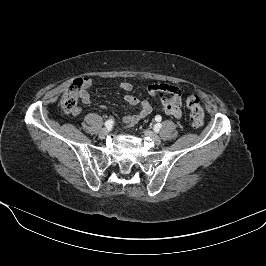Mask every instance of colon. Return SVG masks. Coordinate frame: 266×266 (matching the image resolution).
Listing matches in <instances>:
<instances>
[{
	"mask_svg": "<svg viewBox=\"0 0 266 266\" xmlns=\"http://www.w3.org/2000/svg\"><path fill=\"white\" fill-rule=\"evenodd\" d=\"M80 88L81 81L78 79L75 80L70 88L63 94L61 106L66 112L73 113L78 108ZM186 104L190 111V121L192 126L195 128L200 127L203 124L204 111L200 105L199 98L197 96H189Z\"/></svg>",
	"mask_w": 266,
	"mask_h": 266,
	"instance_id": "1",
	"label": "colon"
}]
</instances>
